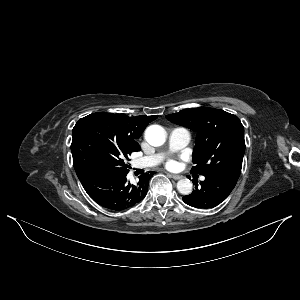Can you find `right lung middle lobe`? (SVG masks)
Instances as JSON below:
<instances>
[{
  "label": "right lung middle lobe",
  "mask_w": 300,
  "mask_h": 300,
  "mask_svg": "<svg viewBox=\"0 0 300 300\" xmlns=\"http://www.w3.org/2000/svg\"><path fill=\"white\" fill-rule=\"evenodd\" d=\"M72 137L73 165L78 177L100 169L129 171L126 160L135 150L113 134L96 113L81 118L73 128Z\"/></svg>",
  "instance_id": "dd1d6c3e"
}]
</instances>
